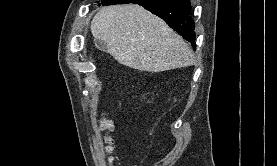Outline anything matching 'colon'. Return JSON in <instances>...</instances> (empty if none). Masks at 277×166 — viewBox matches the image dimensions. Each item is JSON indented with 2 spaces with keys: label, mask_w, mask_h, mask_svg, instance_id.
Listing matches in <instances>:
<instances>
[{
  "label": "colon",
  "mask_w": 277,
  "mask_h": 166,
  "mask_svg": "<svg viewBox=\"0 0 277 166\" xmlns=\"http://www.w3.org/2000/svg\"><path fill=\"white\" fill-rule=\"evenodd\" d=\"M100 130L104 132V143L106 150L110 153L113 149V139L109 133L113 130V122L107 116L100 120Z\"/></svg>",
  "instance_id": "colon-1"
}]
</instances>
